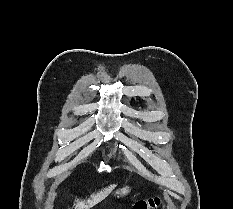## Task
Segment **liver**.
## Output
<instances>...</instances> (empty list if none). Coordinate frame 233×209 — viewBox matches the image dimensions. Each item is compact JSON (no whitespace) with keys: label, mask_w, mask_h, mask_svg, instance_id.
I'll use <instances>...</instances> for the list:
<instances>
[{"label":"liver","mask_w":233,"mask_h":209,"mask_svg":"<svg viewBox=\"0 0 233 209\" xmlns=\"http://www.w3.org/2000/svg\"><path fill=\"white\" fill-rule=\"evenodd\" d=\"M115 184L108 186L107 188H104L103 190L99 191L96 194H92L90 198L87 200H76V203L74 204L75 209H90L98 202L102 201L105 197H107L111 191L114 189Z\"/></svg>","instance_id":"6515ba94"}]
</instances>
